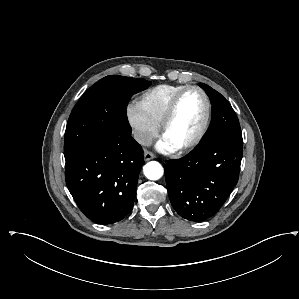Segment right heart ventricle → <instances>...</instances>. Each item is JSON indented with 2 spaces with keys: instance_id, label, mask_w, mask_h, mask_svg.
Masks as SVG:
<instances>
[{
  "instance_id": "obj_1",
  "label": "right heart ventricle",
  "mask_w": 299,
  "mask_h": 299,
  "mask_svg": "<svg viewBox=\"0 0 299 299\" xmlns=\"http://www.w3.org/2000/svg\"><path fill=\"white\" fill-rule=\"evenodd\" d=\"M186 85L162 84L145 91L137 104L144 114L157 126L173 97Z\"/></svg>"
}]
</instances>
